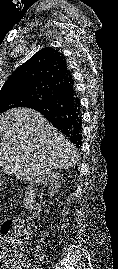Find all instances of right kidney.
I'll use <instances>...</instances> for the list:
<instances>
[{"label":"right kidney","mask_w":118,"mask_h":269,"mask_svg":"<svg viewBox=\"0 0 118 269\" xmlns=\"http://www.w3.org/2000/svg\"><path fill=\"white\" fill-rule=\"evenodd\" d=\"M62 181V175L57 172H46L36 178L30 186L26 188L24 202L25 208L33 214L34 217H37L41 211L40 206L35 203L34 200V189L38 184L48 185V194L54 195Z\"/></svg>","instance_id":"right-kidney-1"}]
</instances>
